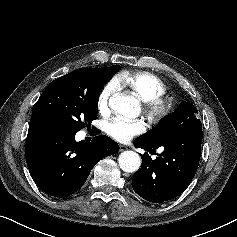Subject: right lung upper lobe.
<instances>
[{
  "mask_svg": "<svg viewBox=\"0 0 237 237\" xmlns=\"http://www.w3.org/2000/svg\"><path fill=\"white\" fill-rule=\"evenodd\" d=\"M89 69L90 68L77 69V70H74V71L68 73L67 75H65V77H68L78 83H81V84H88L89 82H91V76L89 73ZM37 103H38V101H37ZM43 128H44V126L37 116L36 104H35V107H34V110H33L32 116H31L30 124H29V131H31L33 129H43Z\"/></svg>",
  "mask_w": 237,
  "mask_h": 237,
  "instance_id": "1",
  "label": "right lung upper lobe"
}]
</instances>
